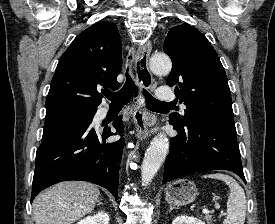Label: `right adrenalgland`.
<instances>
[{
    "label": "right adrenal gland",
    "instance_id": "1",
    "mask_svg": "<svg viewBox=\"0 0 275 224\" xmlns=\"http://www.w3.org/2000/svg\"><path fill=\"white\" fill-rule=\"evenodd\" d=\"M101 204H102V202H101V201H99V202H98V205H101Z\"/></svg>",
    "mask_w": 275,
    "mask_h": 224
}]
</instances>
